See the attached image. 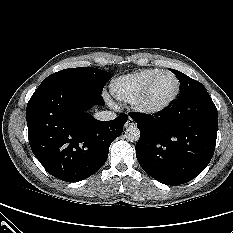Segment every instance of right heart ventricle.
<instances>
[{
    "mask_svg": "<svg viewBox=\"0 0 233 233\" xmlns=\"http://www.w3.org/2000/svg\"><path fill=\"white\" fill-rule=\"evenodd\" d=\"M159 71V68H146L118 77L110 83L111 95L119 101L131 102L145 83Z\"/></svg>",
    "mask_w": 233,
    "mask_h": 233,
    "instance_id": "obj_1",
    "label": "right heart ventricle"
}]
</instances>
